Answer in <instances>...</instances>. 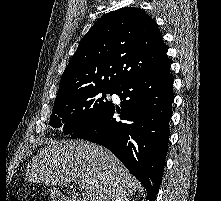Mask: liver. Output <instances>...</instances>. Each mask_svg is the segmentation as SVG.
<instances>
[{
  "label": "liver",
  "instance_id": "obj_1",
  "mask_svg": "<svg viewBox=\"0 0 221 201\" xmlns=\"http://www.w3.org/2000/svg\"><path fill=\"white\" fill-rule=\"evenodd\" d=\"M46 143L28 164L27 181L62 186L78 180L82 201H113L136 192L138 181L106 148L83 140Z\"/></svg>",
  "mask_w": 221,
  "mask_h": 201
}]
</instances>
